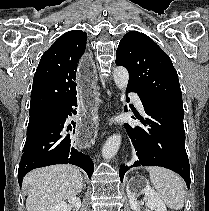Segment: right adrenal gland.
Instances as JSON below:
<instances>
[{
  "mask_svg": "<svg viewBox=\"0 0 209 211\" xmlns=\"http://www.w3.org/2000/svg\"><path fill=\"white\" fill-rule=\"evenodd\" d=\"M83 188H86V184H85V182H83Z\"/></svg>",
  "mask_w": 209,
  "mask_h": 211,
  "instance_id": "right-adrenal-gland-1",
  "label": "right adrenal gland"
}]
</instances>
